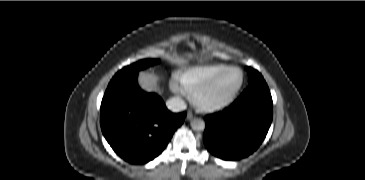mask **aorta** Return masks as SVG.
<instances>
[{
  "label": "aorta",
  "instance_id": "obj_1",
  "mask_svg": "<svg viewBox=\"0 0 365 180\" xmlns=\"http://www.w3.org/2000/svg\"><path fill=\"white\" fill-rule=\"evenodd\" d=\"M191 127L195 131H203L205 129V122L202 119H194L191 121Z\"/></svg>",
  "mask_w": 365,
  "mask_h": 180
}]
</instances>
